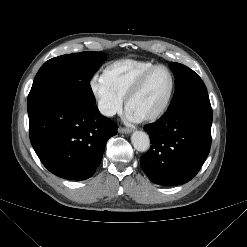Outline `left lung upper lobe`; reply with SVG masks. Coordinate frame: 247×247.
Listing matches in <instances>:
<instances>
[{
  "label": "left lung upper lobe",
  "instance_id": "1",
  "mask_svg": "<svg viewBox=\"0 0 247 247\" xmlns=\"http://www.w3.org/2000/svg\"><path fill=\"white\" fill-rule=\"evenodd\" d=\"M169 66L175 76V93L168 110L195 101L209 100L202 79L193 70L179 63H170Z\"/></svg>",
  "mask_w": 247,
  "mask_h": 247
}]
</instances>
